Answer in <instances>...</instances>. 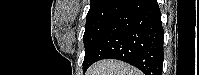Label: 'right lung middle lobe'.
<instances>
[{
  "label": "right lung middle lobe",
  "mask_w": 199,
  "mask_h": 75,
  "mask_svg": "<svg viewBox=\"0 0 199 75\" xmlns=\"http://www.w3.org/2000/svg\"><path fill=\"white\" fill-rule=\"evenodd\" d=\"M128 0H108L89 9L86 17L85 33L83 42L85 57L83 67L90 61V55L114 17L125 6Z\"/></svg>",
  "instance_id": "right-lung-middle-lobe-1"
}]
</instances>
